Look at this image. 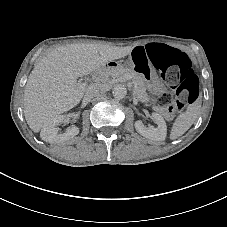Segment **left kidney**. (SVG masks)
<instances>
[{"label": "left kidney", "instance_id": "obj_1", "mask_svg": "<svg viewBox=\"0 0 227 227\" xmlns=\"http://www.w3.org/2000/svg\"><path fill=\"white\" fill-rule=\"evenodd\" d=\"M151 115L155 119V123L157 127L155 126L146 127L143 124L142 120H137L135 122V128L137 132L140 133L142 136L152 140H156V141L165 140L167 136V125L163 117L156 112H152Z\"/></svg>", "mask_w": 227, "mask_h": 227}]
</instances>
